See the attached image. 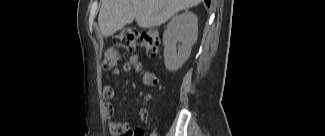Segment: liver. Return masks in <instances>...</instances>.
Masks as SVG:
<instances>
[{
    "instance_id": "6515ba94",
    "label": "liver",
    "mask_w": 325,
    "mask_h": 136,
    "mask_svg": "<svg viewBox=\"0 0 325 136\" xmlns=\"http://www.w3.org/2000/svg\"><path fill=\"white\" fill-rule=\"evenodd\" d=\"M201 0H102L98 25L109 37L135 19L146 29L158 27L177 12L198 5Z\"/></svg>"
}]
</instances>
